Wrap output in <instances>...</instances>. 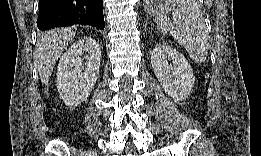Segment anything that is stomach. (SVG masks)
Wrapping results in <instances>:
<instances>
[{
    "mask_svg": "<svg viewBox=\"0 0 261 156\" xmlns=\"http://www.w3.org/2000/svg\"><path fill=\"white\" fill-rule=\"evenodd\" d=\"M160 10H161V6L159 4H156L153 2L148 3L146 6L147 13L152 14V15H154L155 13H159Z\"/></svg>",
    "mask_w": 261,
    "mask_h": 156,
    "instance_id": "1",
    "label": "stomach"
}]
</instances>
